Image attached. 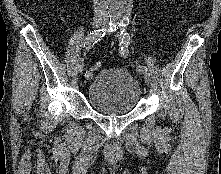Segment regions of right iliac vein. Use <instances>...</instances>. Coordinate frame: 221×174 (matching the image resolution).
<instances>
[{
    "label": "right iliac vein",
    "mask_w": 221,
    "mask_h": 174,
    "mask_svg": "<svg viewBox=\"0 0 221 174\" xmlns=\"http://www.w3.org/2000/svg\"><path fill=\"white\" fill-rule=\"evenodd\" d=\"M106 21L102 18H95L93 20V28H99L100 26H103L105 25ZM83 68H84V61L83 60H80L79 64H78V69H79V72H82L83 71Z\"/></svg>",
    "instance_id": "right-iliac-vein-1"
}]
</instances>
